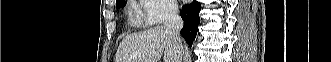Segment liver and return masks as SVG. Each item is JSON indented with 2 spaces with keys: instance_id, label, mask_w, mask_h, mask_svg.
<instances>
[{
  "instance_id": "obj_1",
  "label": "liver",
  "mask_w": 331,
  "mask_h": 62,
  "mask_svg": "<svg viewBox=\"0 0 331 62\" xmlns=\"http://www.w3.org/2000/svg\"><path fill=\"white\" fill-rule=\"evenodd\" d=\"M176 62V48L170 33L162 26L127 35L119 44L115 62Z\"/></svg>"
}]
</instances>
